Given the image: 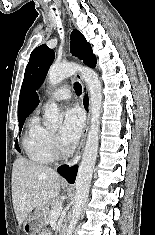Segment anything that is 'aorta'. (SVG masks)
Instances as JSON below:
<instances>
[{"instance_id": "obj_1", "label": "aorta", "mask_w": 155, "mask_h": 235, "mask_svg": "<svg viewBox=\"0 0 155 235\" xmlns=\"http://www.w3.org/2000/svg\"><path fill=\"white\" fill-rule=\"evenodd\" d=\"M77 72L86 82L90 92L91 125L75 181V204L72 209V216L66 235H72L89 195V188L99 145V119L102 107V84L95 71L75 63L52 65L47 75L49 84L51 86H55L63 79L70 77ZM45 118L52 126H58L62 123V116L59 113L56 103L52 102L46 109Z\"/></svg>"}]
</instances>
